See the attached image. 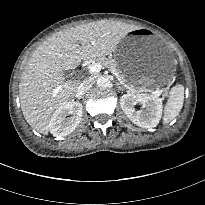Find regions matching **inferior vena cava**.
I'll list each match as a JSON object with an SVG mask.
<instances>
[{
    "instance_id": "602c4592",
    "label": "inferior vena cava",
    "mask_w": 205,
    "mask_h": 205,
    "mask_svg": "<svg viewBox=\"0 0 205 205\" xmlns=\"http://www.w3.org/2000/svg\"><path fill=\"white\" fill-rule=\"evenodd\" d=\"M93 84V80L90 78L84 79L81 84L78 87L77 93L80 95L82 94L86 89L91 87Z\"/></svg>"
}]
</instances>
